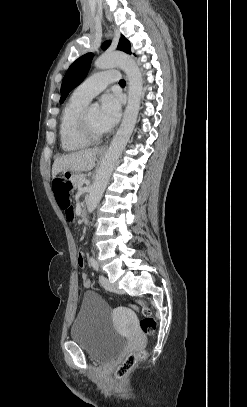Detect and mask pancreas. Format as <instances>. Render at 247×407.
I'll use <instances>...</instances> for the list:
<instances>
[{
	"label": "pancreas",
	"instance_id": "obj_1",
	"mask_svg": "<svg viewBox=\"0 0 247 407\" xmlns=\"http://www.w3.org/2000/svg\"><path fill=\"white\" fill-rule=\"evenodd\" d=\"M84 177H85L84 174H77V175L74 177L73 181H72L73 185H74L75 187L79 186V184H80L82 178H84Z\"/></svg>",
	"mask_w": 247,
	"mask_h": 407
}]
</instances>
